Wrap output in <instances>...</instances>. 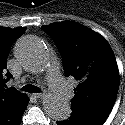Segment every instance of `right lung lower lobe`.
Returning a JSON list of instances; mask_svg holds the SVG:
<instances>
[{
  "mask_svg": "<svg viewBox=\"0 0 125 125\" xmlns=\"http://www.w3.org/2000/svg\"><path fill=\"white\" fill-rule=\"evenodd\" d=\"M27 105L28 97L25 95L9 107L1 110L0 125H19Z\"/></svg>",
  "mask_w": 125,
  "mask_h": 125,
  "instance_id": "obj_1",
  "label": "right lung lower lobe"
}]
</instances>
